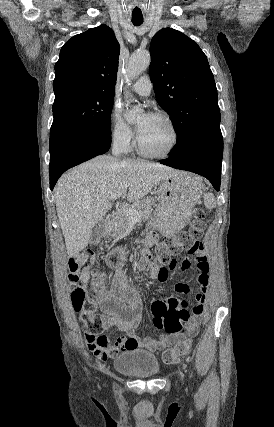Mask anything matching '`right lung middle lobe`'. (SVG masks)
<instances>
[{
    "label": "right lung middle lobe",
    "instance_id": "obj_1",
    "mask_svg": "<svg viewBox=\"0 0 274 427\" xmlns=\"http://www.w3.org/2000/svg\"><path fill=\"white\" fill-rule=\"evenodd\" d=\"M114 95H68L53 104L50 152L62 142L83 134H111Z\"/></svg>",
    "mask_w": 274,
    "mask_h": 427
}]
</instances>
